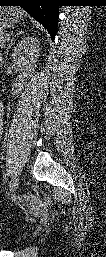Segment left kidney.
Returning a JSON list of instances; mask_svg holds the SVG:
<instances>
[{
    "instance_id": "obj_1",
    "label": "left kidney",
    "mask_w": 106,
    "mask_h": 257,
    "mask_svg": "<svg viewBox=\"0 0 106 257\" xmlns=\"http://www.w3.org/2000/svg\"><path fill=\"white\" fill-rule=\"evenodd\" d=\"M40 42L33 37L22 39L12 53V59L23 75H28L34 69L39 57Z\"/></svg>"
}]
</instances>
